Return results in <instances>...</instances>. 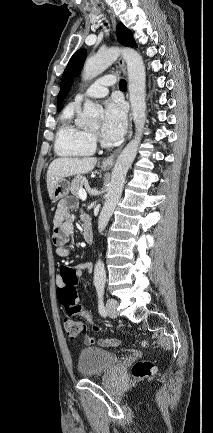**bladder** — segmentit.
<instances>
[{
	"instance_id": "1",
	"label": "bladder",
	"mask_w": 213,
	"mask_h": 433,
	"mask_svg": "<svg viewBox=\"0 0 213 433\" xmlns=\"http://www.w3.org/2000/svg\"><path fill=\"white\" fill-rule=\"evenodd\" d=\"M119 361V356L107 349L85 347L78 356V371L85 378L102 376L111 371Z\"/></svg>"
}]
</instances>
